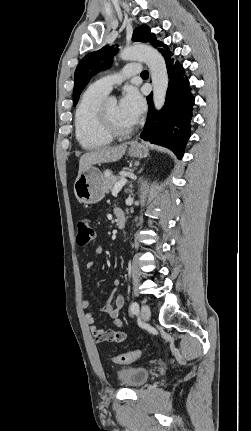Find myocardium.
<instances>
[{"label": "myocardium", "mask_w": 251, "mask_h": 431, "mask_svg": "<svg viewBox=\"0 0 251 431\" xmlns=\"http://www.w3.org/2000/svg\"><path fill=\"white\" fill-rule=\"evenodd\" d=\"M106 102L102 103L99 108V125L104 133L112 138L125 137L132 133L133 126L128 128H119L111 120L107 108Z\"/></svg>", "instance_id": "obj_1"}]
</instances>
